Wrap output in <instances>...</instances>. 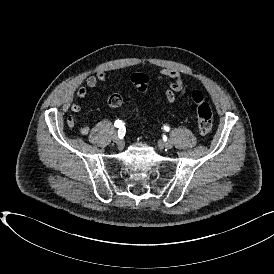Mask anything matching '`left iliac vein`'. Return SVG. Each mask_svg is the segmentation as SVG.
<instances>
[{
  "instance_id": "left-iliac-vein-1",
  "label": "left iliac vein",
  "mask_w": 274,
  "mask_h": 274,
  "mask_svg": "<svg viewBox=\"0 0 274 274\" xmlns=\"http://www.w3.org/2000/svg\"><path fill=\"white\" fill-rule=\"evenodd\" d=\"M162 146L166 149H171L173 147V141L168 139L167 141L162 142Z\"/></svg>"
}]
</instances>
